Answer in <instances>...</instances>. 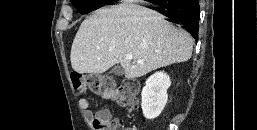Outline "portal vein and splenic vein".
<instances>
[{
	"instance_id": "18ae733b",
	"label": "portal vein and splenic vein",
	"mask_w": 257,
	"mask_h": 130,
	"mask_svg": "<svg viewBox=\"0 0 257 130\" xmlns=\"http://www.w3.org/2000/svg\"><path fill=\"white\" fill-rule=\"evenodd\" d=\"M126 58H127L128 60H132V59H133V56H132V54H127V55H126ZM138 63H141V61H138Z\"/></svg>"
}]
</instances>
